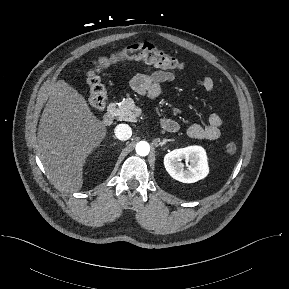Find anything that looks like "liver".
<instances>
[{
	"mask_svg": "<svg viewBox=\"0 0 289 289\" xmlns=\"http://www.w3.org/2000/svg\"><path fill=\"white\" fill-rule=\"evenodd\" d=\"M106 133L77 90L63 80L52 86L39 122L37 150L49 179L60 191L82 188L86 160Z\"/></svg>",
	"mask_w": 289,
	"mask_h": 289,
	"instance_id": "1",
	"label": "liver"
}]
</instances>
